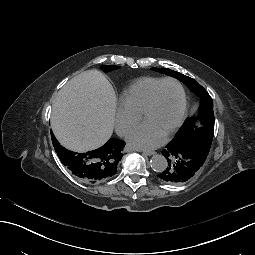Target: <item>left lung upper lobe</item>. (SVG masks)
I'll list each match as a JSON object with an SVG mask.
<instances>
[{"mask_svg":"<svg viewBox=\"0 0 255 255\" xmlns=\"http://www.w3.org/2000/svg\"><path fill=\"white\" fill-rule=\"evenodd\" d=\"M152 69L177 78L178 80L183 82L193 93H195L198 97L201 98L199 116L201 125L198 126L195 124L196 118H188L182 126L184 127L183 130L181 132H179V130V133L175 135L173 140H175V142L178 144H182L184 142L189 145L194 144L197 151L202 156L207 158V156H209L211 153L210 147L214 134V112L212 98L200 84H198L194 79L188 76H185L179 72L173 71L168 68Z\"/></svg>","mask_w":255,"mask_h":255,"instance_id":"obj_1","label":"left lung upper lobe"}]
</instances>
